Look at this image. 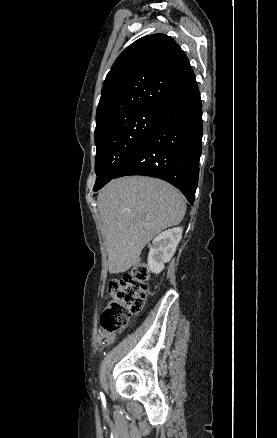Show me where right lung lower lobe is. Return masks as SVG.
<instances>
[{"label": "right lung lower lobe", "mask_w": 277, "mask_h": 438, "mask_svg": "<svg viewBox=\"0 0 277 438\" xmlns=\"http://www.w3.org/2000/svg\"><path fill=\"white\" fill-rule=\"evenodd\" d=\"M155 66L167 71L172 69L170 64L156 63ZM202 132V106L196 85L165 105L145 141L112 179L128 175L160 178L177 187L193 204Z\"/></svg>", "instance_id": "right-lung-lower-lobe-1"}]
</instances>
